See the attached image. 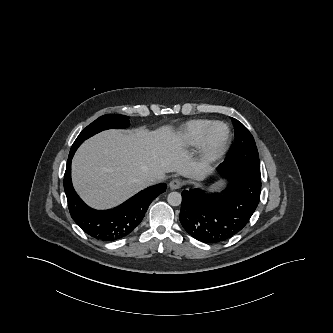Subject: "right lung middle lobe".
I'll use <instances>...</instances> for the list:
<instances>
[{
	"mask_svg": "<svg viewBox=\"0 0 333 333\" xmlns=\"http://www.w3.org/2000/svg\"><path fill=\"white\" fill-rule=\"evenodd\" d=\"M129 118L124 115L118 114H107L99 117L90 125H88L82 132L79 134L75 142L73 143L71 150H77L81 143L93 136L94 134L101 132L106 129L111 128H126L129 126Z\"/></svg>",
	"mask_w": 333,
	"mask_h": 333,
	"instance_id": "dd1d6c3e",
	"label": "right lung middle lobe"
}]
</instances>
